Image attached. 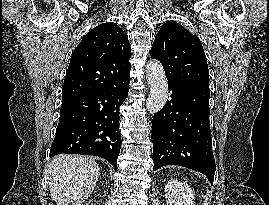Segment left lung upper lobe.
Wrapping results in <instances>:
<instances>
[{
	"instance_id": "left-lung-upper-lobe-1",
	"label": "left lung upper lobe",
	"mask_w": 269,
	"mask_h": 205,
	"mask_svg": "<svg viewBox=\"0 0 269 205\" xmlns=\"http://www.w3.org/2000/svg\"><path fill=\"white\" fill-rule=\"evenodd\" d=\"M150 56L162 63L168 81L209 85L207 59L201 41L176 22L163 24Z\"/></svg>"
}]
</instances>
